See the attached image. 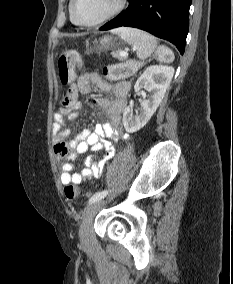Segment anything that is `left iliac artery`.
I'll list each match as a JSON object with an SVG mask.
<instances>
[{
	"instance_id": "obj_1",
	"label": "left iliac artery",
	"mask_w": 233,
	"mask_h": 284,
	"mask_svg": "<svg viewBox=\"0 0 233 284\" xmlns=\"http://www.w3.org/2000/svg\"><path fill=\"white\" fill-rule=\"evenodd\" d=\"M107 194H108V191H107V190H104V191H100V192L95 193V194L89 199V204L101 200V199L104 198Z\"/></svg>"
}]
</instances>
